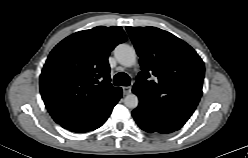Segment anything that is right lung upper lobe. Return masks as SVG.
<instances>
[{
	"label": "right lung upper lobe",
	"mask_w": 248,
	"mask_h": 158,
	"mask_svg": "<svg viewBox=\"0 0 248 158\" xmlns=\"http://www.w3.org/2000/svg\"><path fill=\"white\" fill-rule=\"evenodd\" d=\"M127 40L119 26H98L62 40L49 54L40 75L44 104L58 124L98 111L120 87L110 83L108 56Z\"/></svg>",
	"instance_id": "right-lung-upper-lobe-1"
}]
</instances>
